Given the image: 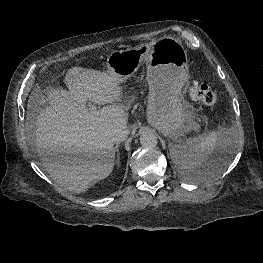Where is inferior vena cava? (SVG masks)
<instances>
[{"instance_id": "inferior-vena-cava-1", "label": "inferior vena cava", "mask_w": 263, "mask_h": 263, "mask_svg": "<svg viewBox=\"0 0 263 263\" xmlns=\"http://www.w3.org/2000/svg\"><path fill=\"white\" fill-rule=\"evenodd\" d=\"M129 131L127 127L115 128L111 131L110 137L113 143H121L126 140Z\"/></svg>"}]
</instances>
